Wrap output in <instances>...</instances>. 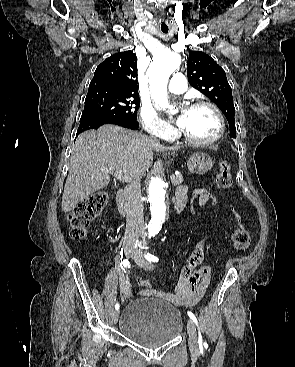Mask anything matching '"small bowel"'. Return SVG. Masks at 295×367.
Listing matches in <instances>:
<instances>
[{"mask_svg": "<svg viewBox=\"0 0 295 367\" xmlns=\"http://www.w3.org/2000/svg\"><path fill=\"white\" fill-rule=\"evenodd\" d=\"M197 200L202 203L199 205L205 208L207 197L211 194L204 188L194 190ZM175 200L186 205L188 201V190L185 186L177 189ZM206 238L202 239L193 252L188 257L186 263L180 270L179 283L175 291L174 300L183 306H194L204 297L206 289L211 283L212 268L207 265H201L204 260L206 250ZM132 296V284L128 276L124 275L121 279L120 298L127 300Z\"/></svg>", "mask_w": 295, "mask_h": 367, "instance_id": "obj_1", "label": "small bowel"}]
</instances>
